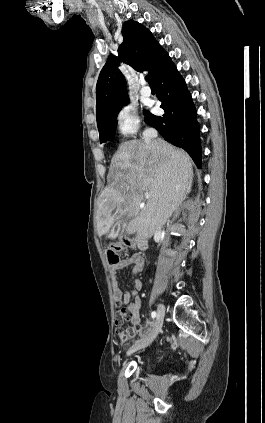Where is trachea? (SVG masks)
Masks as SVG:
<instances>
[{"mask_svg":"<svg viewBox=\"0 0 265 423\" xmlns=\"http://www.w3.org/2000/svg\"><path fill=\"white\" fill-rule=\"evenodd\" d=\"M145 80H146L147 82H149V84H150V85H153V83H152V81H151V79H150V77H149V76H146V77H145Z\"/></svg>","mask_w":265,"mask_h":423,"instance_id":"3493384b","label":"trachea"}]
</instances>
